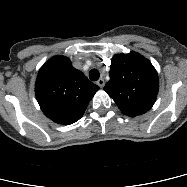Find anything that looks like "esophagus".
I'll list each match as a JSON object with an SVG mask.
<instances>
[{
	"mask_svg": "<svg viewBox=\"0 0 187 187\" xmlns=\"http://www.w3.org/2000/svg\"><path fill=\"white\" fill-rule=\"evenodd\" d=\"M97 85H98L99 87L103 88L104 85H105L104 79H103V78H100V79L97 81Z\"/></svg>",
	"mask_w": 187,
	"mask_h": 187,
	"instance_id": "obj_1",
	"label": "esophagus"
}]
</instances>
